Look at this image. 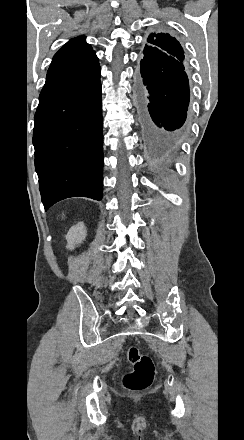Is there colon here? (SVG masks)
<instances>
[{
  "label": "colon",
  "instance_id": "5ec220e1",
  "mask_svg": "<svg viewBox=\"0 0 244 440\" xmlns=\"http://www.w3.org/2000/svg\"><path fill=\"white\" fill-rule=\"evenodd\" d=\"M126 359L129 363L136 364V372L123 378V384L127 388L143 390L153 383L155 368L151 358L142 354L136 346H129L126 351ZM143 374V375H140Z\"/></svg>",
  "mask_w": 244,
  "mask_h": 440
}]
</instances>
